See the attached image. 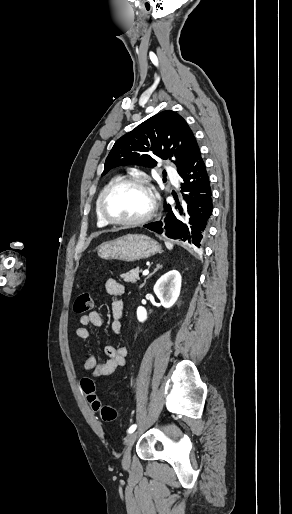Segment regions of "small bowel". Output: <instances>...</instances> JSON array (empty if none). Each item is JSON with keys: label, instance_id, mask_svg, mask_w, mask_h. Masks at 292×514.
I'll list each match as a JSON object with an SVG mask.
<instances>
[{"label": "small bowel", "instance_id": "1", "mask_svg": "<svg viewBox=\"0 0 292 514\" xmlns=\"http://www.w3.org/2000/svg\"><path fill=\"white\" fill-rule=\"evenodd\" d=\"M105 290L111 296H119L123 294V285L114 278H108L105 281ZM113 321L111 323V331L117 335L123 329L121 321L124 314V304L120 300H115L111 306ZM80 323L82 326L74 330V335L82 340L91 341L92 334L86 328L88 326L98 328L103 325V318L98 311H92L81 316ZM106 361L98 360L92 353L81 362L80 367L84 371H89L91 377H110L118 368L125 365L128 349L125 345H107L105 347Z\"/></svg>", "mask_w": 292, "mask_h": 514}]
</instances>
